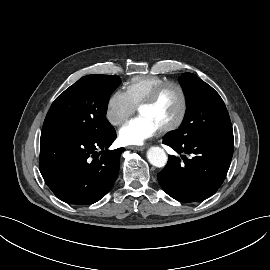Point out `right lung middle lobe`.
<instances>
[{
  "mask_svg": "<svg viewBox=\"0 0 270 270\" xmlns=\"http://www.w3.org/2000/svg\"><path fill=\"white\" fill-rule=\"evenodd\" d=\"M120 84L118 76L88 75L79 79L52 103L43 134L98 137L113 126L105 118L110 94Z\"/></svg>",
  "mask_w": 270,
  "mask_h": 270,
  "instance_id": "1",
  "label": "right lung middle lobe"
}]
</instances>
